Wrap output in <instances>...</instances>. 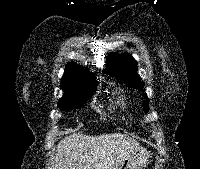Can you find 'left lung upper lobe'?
<instances>
[{
  "instance_id": "1",
  "label": "left lung upper lobe",
  "mask_w": 200,
  "mask_h": 169,
  "mask_svg": "<svg viewBox=\"0 0 200 169\" xmlns=\"http://www.w3.org/2000/svg\"><path fill=\"white\" fill-rule=\"evenodd\" d=\"M105 73L116 76L119 80L126 83L130 88L142 89L144 84L141 82L140 77L137 75V62L129 54L119 55L117 53H110L107 57V65L103 70ZM146 102L144 103L145 111L149 110V101L146 93H144Z\"/></svg>"
}]
</instances>
